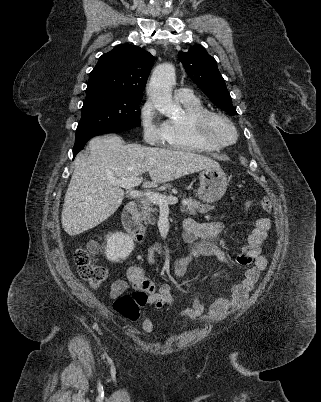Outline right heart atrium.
Returning a JSON list of instances; mask_svg holds the SVG:
<instances>
[{
	"mask_svg": "<svg viewBox=\"0 0 321 402\" xmlns=\"http://www.w3.org/2000/svg\"><path fill=\"white\" fill-rule=\"evenodd\" d=\"M144 140L152 145L164 142V122H160L158 112L151 101H146L139 114Z\"/></svg>",
	"mask_w": 321,
	"mask_h": 402,
	"instance_id": "obj_1",
	"label": "right heart atrium"
}]
</instances>
